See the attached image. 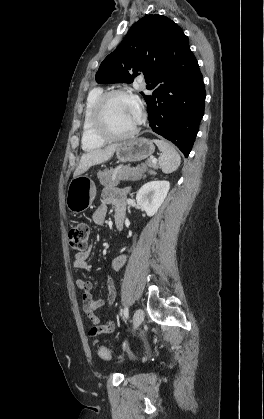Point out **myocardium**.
Segmentation results:
<instances>
[{"mask_svg":"<svg viewBox=\"0 0 264 419\" xmlns=\"http://www.w3.org/2000/svg\"><path fill=\"white\" fill-rule=\"evenodd\" d=\"M127 97L132 100H135L134 96L125 90L121 89H114L104 92L100 95V97L97 99L96 103L94 104L93 110H92V117H91V124L93 132L97 137L104 141H120L125 140L130 137H132L138 130V126L135 125L131 130L116 134L110 131L106 124L105 120V108L107 103L114 97Z\"/></svg>","mask_w":264,"mask_h":419,"instance_id":"obj_1","label":"myocardium"}]
</instances>
